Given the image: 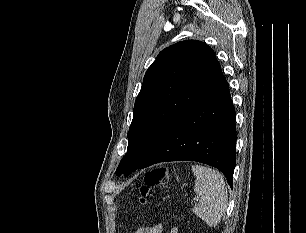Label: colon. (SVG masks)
I'll use <instances>...</instances> for the list:
<instances>
[{"mask_svg": "<svg viewBox=\"0 0 306 233\" xmlns=\"http://www.w3.org/2000/svg\"><path fill=\"white\" fill-rule=\"evenodd\" d=\"M167 168L157 167L146 173L143 184L140 188V203L148 204L149 192L155 188L160 187L167 181Z\"/></svg>", "mask_w": 306, "mask_h": 233, "instance_id": "5ec220e1", "label": "colon"}]
</instances>
